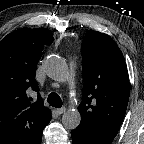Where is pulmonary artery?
Wrapping results in <instances>:
<instances>
[{
    "mask_svg": "<svg viewBox=\"0 0 144 144\" xmlns=\"http://www.w3.org/2000/svg\"><path fill=\"white\" fill-rule=\"evenodd\" d=\"M74 62H71L70 63V73H71V75H73L74 74Z\"/></svg>",
    "mask_w": 144,
    "mask_h": 144,
    "instance_id": "pulmonary-artery-1",
    "label": "pulmonary artery"
}]
</instances>
